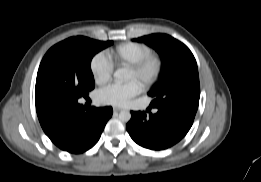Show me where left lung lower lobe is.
I'll use <instances>...</instances> for the list:
<instances>
[{
  "label": "left lung lower lobe",
  "instance_id": "left-lung-lower-lobe-1",
  "mask_svg": "<svg viewBox=\"0 0 261 182\" xmlns=\"http://www.w3.org/2000/svg\"><path fill=\"white\" fill-rule=\"evenodd\" d=\"M198 106L180 103L158 108L156 114L131 112L126 128L131 138L140 146L152 149H167L179 142L192 126Z\"/></svg>",
  "mask_w": 261,
  "mask_h": 182
}]
</instances>
